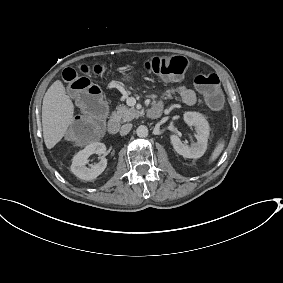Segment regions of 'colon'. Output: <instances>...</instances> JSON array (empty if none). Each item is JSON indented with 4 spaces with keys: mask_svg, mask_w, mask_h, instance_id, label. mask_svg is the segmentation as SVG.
Masks as SVG:
<instances>
[{
    "mask_svg": "<svg viewBox=\"0 0 283 283\" xmlns=\"http://www.w3.org/2000/svg\"><path fill=\"white\" fill-rule=\"evenodd\" d=\"M189 65L190 63L185 57L163 55L147 59L144 68L153 74L176 78L183 75ZM92 72L100 74L102 68L81 65L78 68H66L62 73L63 79L68 83L70 95L82 112L67 131L69 139L79 143L89 142L96 137L108 111L100 88L86 78ZM194 84L210 108L219 110L222 107L224 96L217 75H199L195 78Z\"/></svg>",
    "mask_w": 283,
    "mask_h": 283,
    "instance_id": "colon-1",
    "label": "colon"
}]
</instances>
